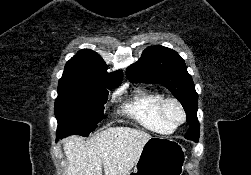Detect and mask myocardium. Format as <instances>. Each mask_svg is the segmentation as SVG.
Listing matches in <instances>:
<instances>
[{"label":"myocardium","instance_id":"myocardium-1","mask_svg":"<svg viewBox=\"0 0 251 175\" xmlns=\"http://www.w3.org/2000/svg\"><path fill=\"white\" fill-rule=\"evenodd\" d=\"M169 104L177 105L180 111L182 112V120L172 126V128L176 130L186 123L188 119V112H187L186 107L182 103V101L179 100L178 98L164 97L159 104V114H160L161 119L167 124L169 123V120L167 117L166 109Z\"/></svg>","mask_w":251,"mask_h":175}]
</instances>
